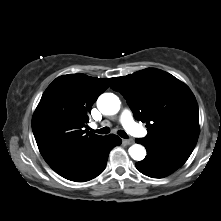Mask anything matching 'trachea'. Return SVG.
I'll list each match as a JSON object with an SVG mask.
<instances>
[{
  "label": "trachea",
  "mask_w": 221,
  "mask_h": 221,
  "mask_svg": "<svg viewBox=\"0 0 221 221\" xmlns=\"http://www.w3.org/2000/svg\"><path fill=\"white\" fill-rule=\"evenodd\" d=\"M93 132H96L98 134H108L110 132V129L108 127H104L98 130H93ZM118 135L124 139L128 138L126 132L122 130L118 131Z\"/></svg>",
  "instance_id": "obj_1"
}]
</instances>
